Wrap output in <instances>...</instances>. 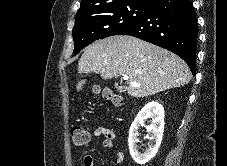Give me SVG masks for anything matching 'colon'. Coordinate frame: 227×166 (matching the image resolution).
Wrapping results in <instances>:
<instances>
[{
    "label": "colon",
    "instance_id": "obj_1",
    "mask_svg": "<svg viewBox=\"0 0 227 166\" xmlns=\"http://www.w3.org/2000/svg\"><path fill=\"white\" fill-rule=\"evenodd\" d=\"M99 92L101 95L111 101L112 104L115 106H121L123 103V99L121 96L115 94L112 90L110 89H100ZM71 139L72 143L75 146H87L91 142V135L89 131L82 125H73L71 127Z\"/></svg>",
    "mask_w": 227,
    "mask_h": 166
}]
</instances>
